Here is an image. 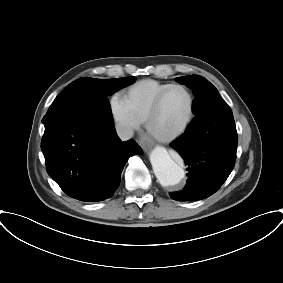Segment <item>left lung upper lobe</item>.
<instances>
[{
	"mask_svg": "<svg viewBox=\"0 0 283 283\" xmlns=\"http://www.w3.org/2000/svg\"><path fill=\"white\" fill-rule=\"evenodd\" d=\"M176 81L180 84H185L193 90L196 99L193 101V113L196 114V110L199 108H208L214 98L221 97L217 89L207 79L198 75L183 76L176 78ZM227 118L224 122L226 125L224 128L216 127V132L210 133L211 139L221 140L225 142H237V131L233 118L232 111L228 106ZM214 124V123H213Z\"/></svg>",
	"mask_w": 283,
	"mask_h": 283,
	"instance_id": "5c2ea615",
	"label": "left lung upper lobe"
}]
</instances>
